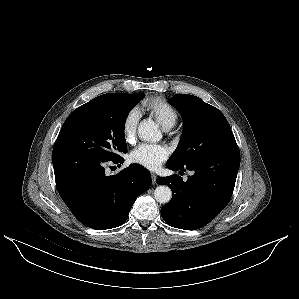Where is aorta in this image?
I'll list each match as a JSON object with an SVG mask.
<instances>
[{"instance_id": "762f6f07", "label": "aorta", "mask_w": 299, "mask_h": 299, "mask_svg": "<svg viewBox=\"0 0 299 299\" xmlns=\"http://www.w3.org/2000/svg\"><path fill=\"white\" fill-rule=\"evenodd\" d=\"M138 135L145 141L156 142L162 137L158 125L151 120H143L138 127ZM172 191L166 185H159L154 191V198L161 204H166L171 200Z\"/></svg>"}]
</instances>
